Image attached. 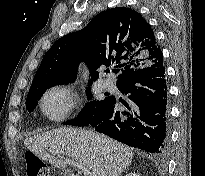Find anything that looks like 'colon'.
Masks as SVG:
<instances>
[{"label":"colon","instance_id":"1","mask_svg":"<svg viewBox=\"0 0 205 176\" xmlns=\"http://www.w3.org/2000/svg\"><path fill=\"white\" fill-rule=\"evenodd\" d=\"M24 161L27 176H51L50 169L46 163L32 151H25Z\"/></svg>","mask_w":205,"mask_h":176}]
</instances>
